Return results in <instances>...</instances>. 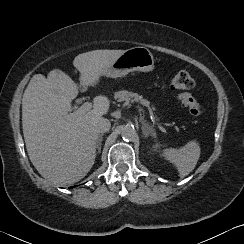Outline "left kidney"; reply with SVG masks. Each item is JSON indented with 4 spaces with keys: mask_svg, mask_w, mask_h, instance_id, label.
I'll list each match as a JSON object with an SVG mask.
<instances>
[{
    "mask_svg": "<svg viewBox=\"0 0 244 244\" xmlns=\"http://www.w3.org/2000/svg\"><path fill=\"white\" fill-rule=\"evenodd\" d=\"M158 148V144L156 143L154 146H153V151H156Z\"/></svg>",
    "mask_w": 244,
    "mask_h": 244,
    "instance_id": "5707ae66",
    "label": "left kidney"
}]
</instances>
